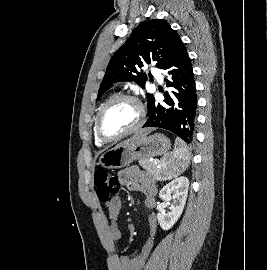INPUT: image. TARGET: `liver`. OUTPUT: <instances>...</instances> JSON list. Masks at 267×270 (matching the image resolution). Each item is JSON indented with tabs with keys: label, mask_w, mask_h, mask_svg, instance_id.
Wrapping results in <instances>:
<instances>
[{
	"label": "liver",
	"mask_w": 267,
	"mask_h": 270,
	"mask_svg": "<svg viewBox=\"0 0 267 270\" xmlns=\"http://www.w3.org/2000/svg\"><path fill=\"white\" fill-rule=\"evenodd\" d=\"M151 131H152L151 128L142 129V130L136 132L131 138L121 142L120 145L132 144V143L140 140L141 138L147 136Z\"/></svg>",
	"instance_id": "liver-1"
}]
</instances>
